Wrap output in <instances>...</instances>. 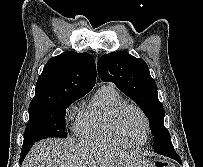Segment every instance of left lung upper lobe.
Here are the masks:
<instances>
[{"label": "left lung upper lobe", "instance_id": "obj_1", "mask_svg": "<svg viewBox=\"0 0 203 167\" xmlns=\"http://www.w3.org/2000/svg\"><path fill=\"white\" fill-rule=\"evenodd\" d=\"M97 69L102 81L116 84L142 109L149 119L154 144L165 139L171 140L164 126V108L158 99L156 83L143 59L126 51L112 52L99 58Z\"/></svg>", "mask_w": 203, "mask_h": 167}]
</instances>
